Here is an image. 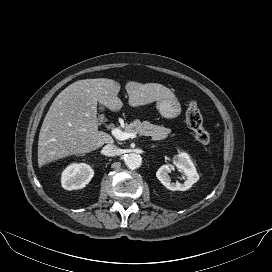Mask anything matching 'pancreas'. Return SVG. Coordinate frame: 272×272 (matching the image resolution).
Returning a JSON list of instances; mask_svg holds the SVG:
<instances>
[{"instance_id":"obj_1","label":"pancreas","mask_w":272,"mask_h":272,"mask_svg":"<svg viewBox=\"0 0 272 272\" xmlns=\"http://www.w3.org/2000/svg\"><path fill=\"white\" fill-rule=\"evenodd\" d=\"M126 132L138 133L144 136H151L153 140H163L166 139L169 134L171 137H174V134H171V130L164 127L153 125L148 121L141 122L136 119L125 127Z\"/></svg>"}]
</instances>
